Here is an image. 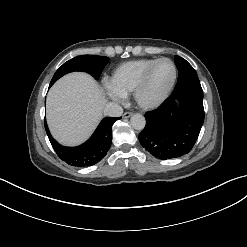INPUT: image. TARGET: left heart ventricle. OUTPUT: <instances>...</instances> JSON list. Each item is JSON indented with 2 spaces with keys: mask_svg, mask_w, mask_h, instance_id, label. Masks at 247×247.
<instances>
[{
  "mask_svg": "<svg viewBox=\"0 0 247 247\" xmlns=\"http://www.w3.org/2000/svg\"><path fill=\"white\" fill-rule=\"evenodd\" d=\"M173 76L172 65L168 61L157 63L150 72L142 97L145 100H154L160 97L167 89Z\"/></svg>",
  "mask_w": 247,
  "mask_h": 247,
  "instance_id": "obj_1",
  "label": "left heart ventricle"
}]
</instances>
